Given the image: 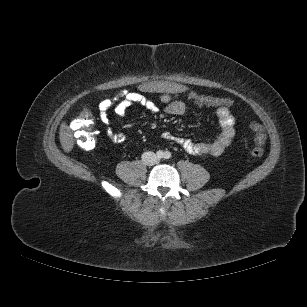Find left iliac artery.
<instances>
[{"label":"left iliac artery","instance_id":"44dca946","mask_svg":"<svg viewBox=\"0 0 307 307\" xmlns=\"http://www.w3.org/2000/svg\"><path fill=\"white\" fill-rule=\"evenodd\" d=\"M172 157V155H171V153L169 152V151H166L165 153H164V158L165 159H170Z\"/></svg>","mask_w":307,"mask_h":307}]
</instances>
